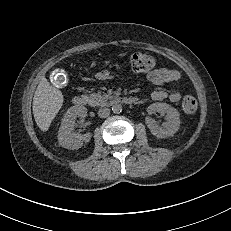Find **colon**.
I'll return each mask as SVG.
<instances>
[{"instance_id":"5ec220e1","label":"colon","mask_w":231,"mask_h":231,"mask_svg":"<svg viewBox=\"0 0 231 231\" xmlns=\"http://www.w3.org/2000/svg\"><path fill=\"white\" fill-rule=\"evenodd\" d=\"M130 65L136 73H146L155 67V60L145 53H134L130 57ZM197 100L193 96H186L182 101V108L186 113H193L197 109Z\"/></svg>"}]
</instances>
